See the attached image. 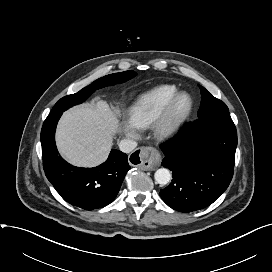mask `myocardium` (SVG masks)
<instances>
[{
  "label": "myocardium",
  "instance_id": "obj_1",
  "mask_svg": "<svg viewBox=\"0 0 272 272\" xmlns=\"http://www.w3.org/2000/svg\"><path fill=\"white\" fill-rule=\"evenodd\" d=\"M185 97L186 106L179 110V101ZM193 108V99L186 91H178L169 101L164 111L157 119L154 130L159 138H169L173 136L190 115Z\"/></svg>",
  "mask_w": 272,
  "mask_h": 272
}]
</instances>
